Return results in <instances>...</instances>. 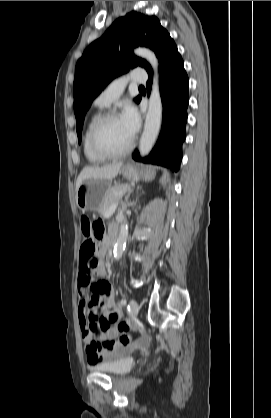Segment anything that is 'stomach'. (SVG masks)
I'll list each match as a JSON object with an SVG mask.
<instances>
[{
    "mask_svg": "<svg viewBox=\"0 0 271 418\" xmlns=\"http://www.w3.org/2000/svg\"><path fill=\"white\" fill-rule=\"evenodd\" d=\"M122 175L130 181H138L141 177L149 180L154 176V170L146 167L139 172L133 165L126 164L121 169ZM111 189V183L104 179H86L76 192V204L85 211H98L101 207L107 191Z\"/></svg>",
    "mask_w": 271,
    "mask_h": 418,
    "instance_id": "obj_1",
    "label": "stomach"
}]
</instances>
